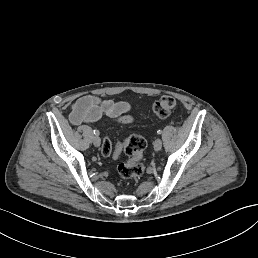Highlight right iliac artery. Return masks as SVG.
<instances>
[{"label":"right iliac artery","instance_id":"1","mask_svg":"<svg viewBox=\"0 0 258 258\" xmlns=\"http://www.w3.org/2000/svg\"><path fill=\"white\" fill-rule=\"evenodd\" d=\"M93 133H94L95 135H99V131H98L97 129H94V130H93Z\"/></svg>","mask_w":258,"mask_h":258}]
</instances>
